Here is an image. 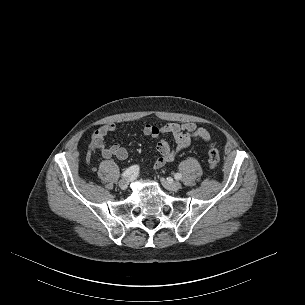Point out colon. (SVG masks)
<instances>
[{
    "instance_id": "obj_1",
    "label": "colon",
    "mask_w": 305,
    "mask_h": 305,
    "mask_svg": "<svg viewBox=\"0 0 305 305\" xmlns=\"http://www.w3.org/2000/svg\"><path fill=\"white\" fill-rule=\"evenodd\" d=\"M219 160H220V157H219L218 149L214 145H211L208 150L209 167L211 169H216L218 167Z\"/></svg>"
}]
</instances>
